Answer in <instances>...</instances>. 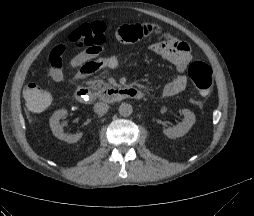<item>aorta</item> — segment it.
Instances as JSON below:
<instances>
[{
    "mask_svg": "<svg viewBox=\"0 0 254 216\" xmlns=\"http://www.w3.org/2000/svg\"><path fill=\"white\" fill-rule=\"evenodd\" d=\"M133 112V107L129 103H122L119 106V114L123 117H129Z\"/></svg>",
    "mask_w": 254,
    "mask_h": 216,
    "instance_id": "762f6f07",
    "label": "aorta"
}]
</instances>
